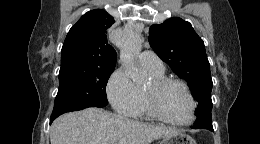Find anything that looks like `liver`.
<instances>
[{
  "mask_svg": "<svg viewBox=\"0 0 260 144\" xmlns=\"http://www.w3.org/2000/svg\"><path fill=\"white\" fill-rule=\"evenodd\" d=\"M179 130L158 126L98 108L67 113L51 125V144H150Z\"/></svg>",
  "mask_w": 260,
  "mask_h": 144,
  "instance_id": "6515ba94",
  "label": "liver"
}]
</instances>
